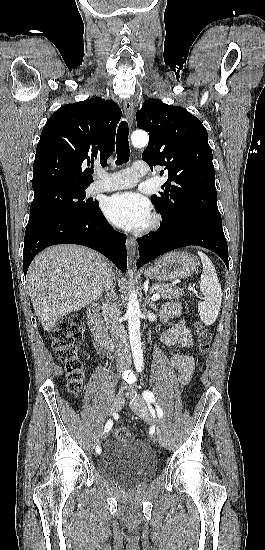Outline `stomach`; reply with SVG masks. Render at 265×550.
<instances>
[{"instance_id":"obj_1","label":"stomach","mask_w":265,"mask_h":550,"mask_svg":"<svg viewBox=\"0 0 265 550\" xmlns=\"http://www.w3.org/2000/svg\"><path fill=\"white\" fill-rule=\"evenodd\" d=\"M198 261L194 255L182 251L164 254L145 270V275L158 281L184 279L197 269Z\"/></svg>"}]
</instances>
